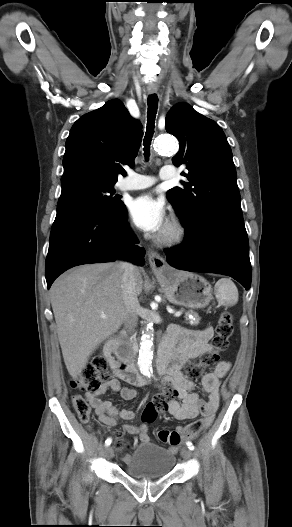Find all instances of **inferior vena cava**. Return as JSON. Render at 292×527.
Wrapping results in <instances>:
<instances>
[{"label": "inferior vena cava", "mask_w": 292, "mask_h": 527, "mask_svg": "<svg viewBox=\"0 0 292 527\" xmlns=\"http://www.w3.org/2000/svg\"><path fill=\"white\" fill-rule=\"evenodd\" d=\"M121 266L123 269L124 326L129 334H133L137 327V314L140 309L135 282V267L129 262H122Z\"/></svg>", "instance_id": "inferior-vena-cava-1"}]
</instances>
